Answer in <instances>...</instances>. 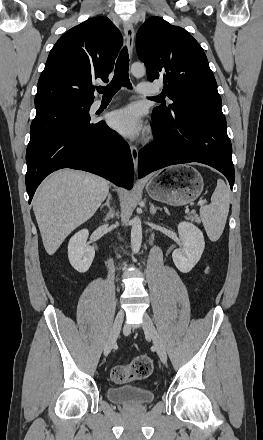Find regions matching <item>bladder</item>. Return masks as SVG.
Segmentation results:
<instances>
[{
  "label": "bladder",
  "instance_id": "bladder-1",
  "mask_svg": "<svg viewBox=\"0 0 263 440\" xmlns=\"http://www.w3.org/2000/svg\"><path fill=\"white\" fill-rule=\"evenodd\" d=\"M106 394L111 402L127 407H145L154 400L150 390L137 386L109 387Z\"/></svg>",
  "mask_w": 263,
  "mask_h": 440
}]
</instances>
